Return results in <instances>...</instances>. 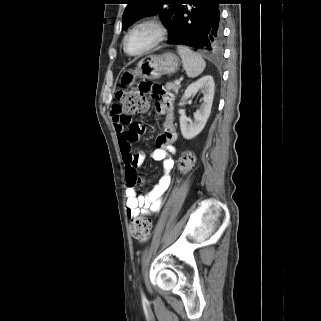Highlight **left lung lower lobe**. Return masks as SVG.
Here are the masks:
<instances>
[{
  "mask_svg": "<svg viewBox=\"0 0 321 321\" xmlns=\"http://www.w3.org/2000/svg\"><path fill=\"white\" fill-rule=\"evenodd\" d=\"M219 4L222 0H182L169 23L167 43L219 54L223 44Z\"/></svg>",
  "mask_w": 321,
  "mask_h": 321,
  "instance_id": "0a47b994",
  "label": "left lung lower lobe"
}]
</instances>
